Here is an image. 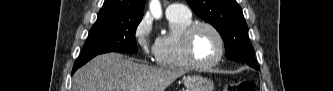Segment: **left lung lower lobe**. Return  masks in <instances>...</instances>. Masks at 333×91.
<instances>
[{"mask_svg":"<svg viewBox=\"0 0 333 91\" xmlns=\"http://www.w3.org/2000/svg\"><path fill=\"white\" fill-rule=\"evenodd\" d=\"M249 66H251V67H253V68H256L257 69V67L256 66H254V64L253 63H250V64H248Z\"/></svg>","mask_w":333,"mask_h":91,"instance_id":"0a47b994","label":"left lung lower lobe"}]
</instances>
